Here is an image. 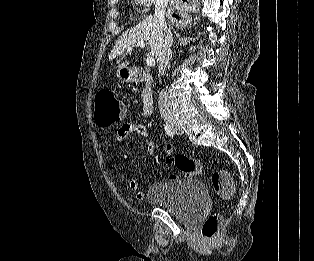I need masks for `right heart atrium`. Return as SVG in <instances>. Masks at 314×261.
Here are the masks:
<instances>
[{
  "instance_id": "obj_1",
  "label": "right heart atrium",
  "mask_w": 314,
  "mask_h": 261,
  "mask_svg": "<svg viewBox=\"0 0 314 261\" xmlns=\"http://www.w3.org/2000/svg\"><path fill=\"white\" fill-rule=\"evenodd\" d=\"M161 0H135L136 5L143 11H149L155 4Z\"/></svg>"
}]
</instances>
